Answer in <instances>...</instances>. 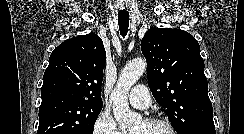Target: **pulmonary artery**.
<instances>
[{
    "mask_svg": "<svg viewBox=\"0 0 244 134\" xmlns=\"http://www.w3.org/2000/svg\"><path fill=\"white\" fill-rule=\"evenodd\" d=\"M129 102L138 109H146L151 105V97L147 87L143 84L135 86L128 95Z\"/></svg>",
    "mask_w": 244,
    "mask_h": 134,
    "instance_id": "e3ab8cb5",
    "label": "pulmonary artery"
}]
</instances>
